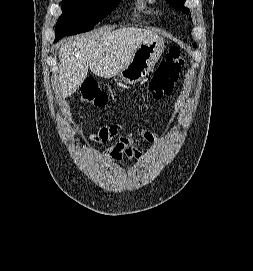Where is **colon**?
Wrapping results in <instances>:
<instances>
[{"label":"colon","instance_id":"obj_1","mask_svg":"<svg viewBox=\"0 0 253 271\" xmlns=\"http://www.w3.org/2000/svg\"><path fill=\"white\" fill-rule=\"evenodd\" d=\"M180 49L171 47L148 83V92L156 100L172 92L182 68ZM82 101L94 106H104L108 101L106 93L98 90L96 82L87 78L81 85Z\"/></svg>","mask_w":253,"mask_h":271}]
</instances>
